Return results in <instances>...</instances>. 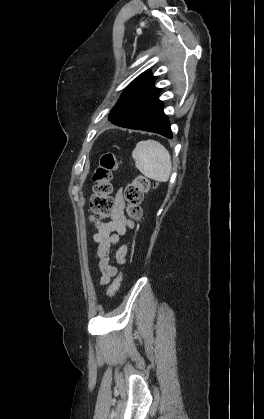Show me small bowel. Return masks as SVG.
Returning <instances> with one entry per match:
<instances>
[{"instance_id":"small-bowel-1","label":"small bowel","mask_w":264,"mask_h":419,"mask_svg":"<svg viewBox=\"0 0 264 419\" xmlns=\"http://www.w3.org/2000/svg\"><path fill=\"white\" fill-rule=\"evenodd\" d=\"M125 200L122 189L115 196V206L110 214V220L98 229L93 240L97 245L96 257L98 258V270L101 273V283L108 284L118 273L116 265L111 262V248L119 244L121 237L126 234L128 228L133 227L125 213ZM127 246L122 244L115 254V261L123 265L127 260Z\"/></svg>"}]
</instances>
